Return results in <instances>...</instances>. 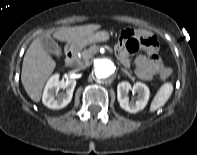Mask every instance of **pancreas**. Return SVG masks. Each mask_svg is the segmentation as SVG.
<instances>
[{
  "instance_id": "cf45deb5",
  "label": "pancreas",
  "mask_w": 197,
  "mask_h": 155,
  "mask_svg": "<svg viewBox=\"0 0 197 155\" xmlns=\"http://www.w3.org/2000/svg\"><path fill=\"white\" fill-rule=\"evenodd\" d=\"M97 49H98V47L93 45V46H90L89 48L83 50L81 52L80 57H78L76 59V64L79 66V65L84 64L87 61H89L96 54Z\"/></svg>"
}]
</instances>
